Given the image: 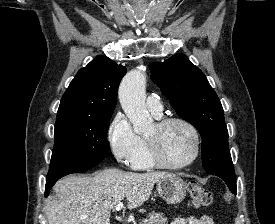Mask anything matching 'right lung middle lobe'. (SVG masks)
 I'll list each match as a JSON object with an SVG mask.
<instances>
[{"mask_svg": "<svg viewBox=\"0 0 275 224\" xmlns=\"http://www.w3.org/2000/svg\"><path fill=\"white\" fill-rule=\"evenodd\" d=\"M110 116L56 120L54 149L47 178L110 157Z\"/></svg>", "mask_w": 275, "mask_h": 224, "instance_id": "1", "label": "right lung middle lobe"}]
</instances>
